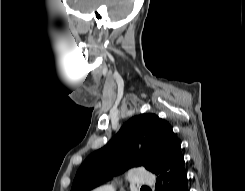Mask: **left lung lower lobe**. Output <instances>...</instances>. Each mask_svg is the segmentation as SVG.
<instances>
[{"label":"left lung lower lobe","instance_id":"left-lung-lower-lobe-1","mask_svg":"<svg viewBox=\"0 0 245 191\" xmlns=\"http://www.w3.org/2000/svg\"><path fill=\"white\" fill-rule=\"evenodd\" d=\"M155 174L158 176L155 191H189L181 147L174 154L170 162Z\"/></svg>","mask_w":245,"mask_h":191}]
</instances>
